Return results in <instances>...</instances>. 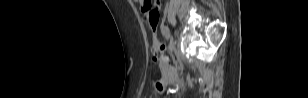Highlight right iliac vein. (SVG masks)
<instances>
[{
	"instance_id": "63e3f726",
	"label": "right iliac vein",
	"mask_w": 308,
	"mask_h": 98,
	"mask_svg": "<svg viewBox=\"0 0 308 98\" xmlns=\"http://www.w3.org/2000/svg\"><path fill=\"white\" fill-rule=\"evenodd\" d=\"M173 50H174V42H173V39H171L169 43V52L172 53Z\"/></svg>"
}]
</instances>
